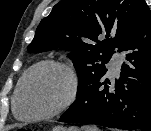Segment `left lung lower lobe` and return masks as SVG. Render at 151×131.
I'll return each mask as SVG.
<instances>
[{
	"instance_id": "left-lung-lower-lobe-1",
	"label": "left lung lower lobe",
	"mask_w": 151,
	"mask_h": 131,
	"mask_svg": "<svg viewBox=\"0 0 151 131\" xmlns=\"http://www.w3.org/2000/svg\"><path fill=\"white\" fill-rule=\"evenodd\" d=\"M125 61L115 81L95 79L72 103L60 122L89 123L121 130L151 131V11L142 3Z\"/></svg>"
}]
</instances>
